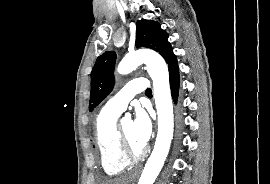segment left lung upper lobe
Segmentation results:
<instances>
[{"mask_svg":"<svg viewBox=\"0 0 270 184\" xmlns=\"http://www.w3.org/2000/svg\"><path fill=\"white\" fill-rule=\"evenodd\" d=\"M136 46L157 51L166 62L173 55L168 34L156 21L141 19L136 23ZM116 53L107 51L99 56L91 72L89 110L92 111L111 91L114 85L113 71Z\"/></svg>","mask_w":270,"mask_h":184,"instance_id":"obj_1","label":"left lung upper lobe"}]
</instances>
